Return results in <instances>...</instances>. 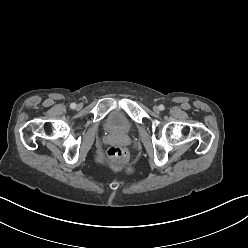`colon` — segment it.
Instances as JSON below:
<instances>
[{"label":"colon","instance_id":"colon-1","mask_svg":"<svg viewBox=\"0 0 248 248\" xmlns=\"http://www.w3.org/2000/svg\"><path fill=\"white\" fill-rule=\"evenodd\" d=\"M107 155L109 161L114 166L122 165L127 159L126 151L120 146H111L108 151Z\"/></svg>","mask_w":248,"mask_h":248}]
</instances>
